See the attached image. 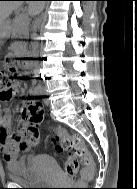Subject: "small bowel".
<instances>
[{
	"label": "small bowel",
	"instance_id": "c3829d8e",
	"mask_svg": "<svg viewBox=\"0 0 137 189\" xmlns=\"http://www.w3.org/2000/svg\"><path fill=\"white\" fill-rule=\"evenodd\" d=\"M4 101L3 99H0ZM22 107L20 119L22 129L27 125L26 113ZM12 111L9 109L2 110L0 108V150L7 170L19 171L27 166V162L32 159L31 156L24 158L21 153L27 152L29 147L24 145L18 136L21 132L10 135L9 129L11 125Z\"/></svg>",
	"mask_w": 137,
	"mask_h": 189
}]
</instances>
